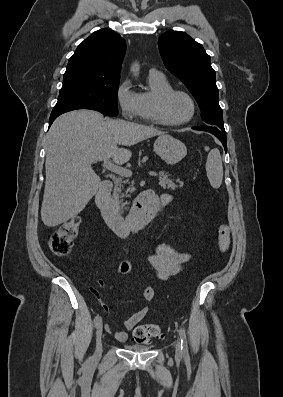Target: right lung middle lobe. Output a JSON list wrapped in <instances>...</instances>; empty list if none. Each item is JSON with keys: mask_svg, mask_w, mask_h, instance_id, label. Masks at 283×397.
I'll list each match as a JSON object with an SVG mask.
<instances>
[{"mask_svg": "<svg viewBox=\"0 0 283 397\" xmlns=\"http://www.w3.org/2000/svg\"><path fill=\"white\" fill-rule=\"evenodd\" d=\"M119 80L77 73L64 74L63 86L54 108H87L106 116H116Z\"/></svg>", "mask_w": 283, "mask_h": 397, "instance_id": "dd1d6c3e", "label": "right lung middle lobe"}]
</instances>
